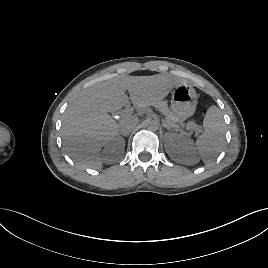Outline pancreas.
<instances>
[{
	"label": "pancreas",
	"mask_w": 268,
	"mask_h": 268,
	"mask_svg": "<svg viewBox=\"0 0 268 268\" xmlns=\"http://www.w3.org/2000/svg\"><path fill=\"white\" fill-rule=\"evenodd\" d=\"M159 110L162 112V114L165 116V122L170 128H175L176 123L180 121V118L172 113V111L169 110L166 103H160L158 104Z\"/></svg>",
	"instance_id": "pancreas-1"
}]
</instances>
